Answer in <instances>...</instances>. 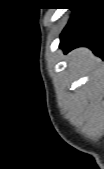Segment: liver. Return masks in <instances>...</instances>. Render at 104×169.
<instances>
[{"mask_svg": "<svg viewBox=\"0 0 104 169\" xmlns=\"http://www.w3.org/2000/svg\"><path fill=\"white\" fill-rule=\"evenodd\" d=\"M68 60L70 66L86 73L95 72L99 63V60L87 48L72 51Z\"/></svg>", "mask_w": 104, "mask_h": 169, "instance_id": "1", "label": "liver"}]
</instances>
